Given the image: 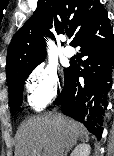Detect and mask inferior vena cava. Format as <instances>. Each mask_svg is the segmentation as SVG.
Wrapping results in <instances>:
<instances>
[{
  "label": "inferior vena cava",
  "instance_id": "obj_1",
  "mask_svg": "<svg viewBox=\"0 0 114 156\" xmlns=\"http://www.w3.org/2000/svg\"><path fill=\"white\" fill-rule=\"evenodd\" d=\"M59 156H65L64 149L61 151V154Z\"/></svg>",
  "mask_w": 114,
  "mask_h": 156
}]
</instances>
